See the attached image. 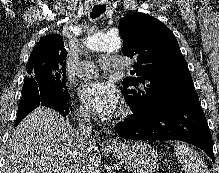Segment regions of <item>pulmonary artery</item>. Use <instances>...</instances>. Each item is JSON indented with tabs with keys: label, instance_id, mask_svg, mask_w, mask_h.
I'll list each match as a JSON object with an SVG mask.
<instances>
[{
	"label": "pulmonary artery",
	"instance_id": "e3ab8cb5",
	"mask_svg": "<svg viewBox=\"0 0 219 173\" xmlns=\"http://www.w3.org/2000/svg\"><path fill=\"white\" fill-rule=\"evenodd\" d=\"M100 66L105 71H119L125 68V60L118 56H104L99 59ZM97 74L96 65L89 60L79 63L76 75L81 79L93 78Z\"/></svg>",
	"mask_w": 219,
	"mask_h": 173
}]
</instances>
